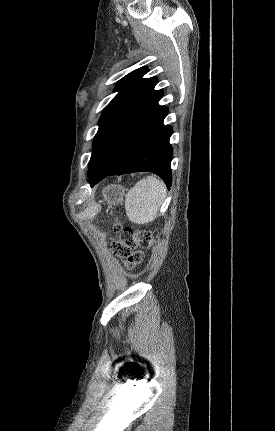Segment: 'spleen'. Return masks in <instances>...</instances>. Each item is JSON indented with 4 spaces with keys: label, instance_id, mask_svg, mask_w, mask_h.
<instances>
[{
    "label": "spleen",
    "instance_id": "3e777b00",
    "mask_svg": "<svg viewBox=\"0 0 275 431\" xmlns=\"http://www.w3.org/2000/svg\"><path fill=\"white\" fill-rule=\"evenodd\" d=\"M166 196L165 184L153 177L138 181L125 196L128 218L137 224L152 222Z\"/></svg>",
    "mask_w": 275,
    "mask_h": 431
}]
</instances>
